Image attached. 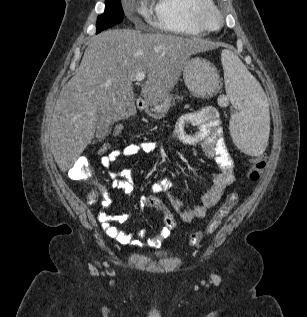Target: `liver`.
I'll list each match as a JSON object with an SVG mask.
<instances>
[{"instance_id":"6515ba94","label":"liver","mask_w":307,"mask_h":317,"mask_svg":"<svg viewBox=\"0 0 307 317\" xmlns=\"http://www.w3.org/2000/svg\"><path fill=\"white\" fill-rule=\"evenodd\" d=\"M211 41L164 33L113 29L93 37L75 75L63 86L50 129V147L62 172L94 137L98 114L117 122L136 113L132 82L147 74L145 102L169 96L190 55L216 48Z\"/></svg>"}]
</instances>
